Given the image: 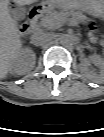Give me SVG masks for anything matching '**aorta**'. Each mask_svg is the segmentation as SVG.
<instances>
[{
  "instance_id": "1",
  "label": "aorta",
  "mask_w": 104,
  "mask_h": 137,
  "mask_svg": "<svg viewBox=\"0 0 104 137\" xmlns=\"http://www.w3.org/2000/svg\"><path fill=\"white\" fill-rule=\"evenodd\" d=\"M59 42L64 47H71L74 45V39L70 35H63L59 38Z\"/></svg>"
}]
</instances>
